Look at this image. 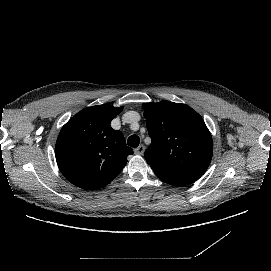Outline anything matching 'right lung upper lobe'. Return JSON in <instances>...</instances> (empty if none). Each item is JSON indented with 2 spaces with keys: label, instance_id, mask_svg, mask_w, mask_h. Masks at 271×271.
<instances>
[{
  "label": "right lung upper lobe",
  "instance_id": "obj_1",
  "mask_svg": "<svg viewBox=\"0 0 271 271\" xmlns=\"http://www.w3.org/2000/svg\"><path fill=\"white\" fill-rule=\"evenodd\" d=\"M123 107L109 104L85 108L61 129L55 155L63 176L73 185L96 190L109 184L124 168L133 150L110 123Z\"/></svg>",
  "mask_w": 271,
  "mask_h": 271
}]
</instances>
